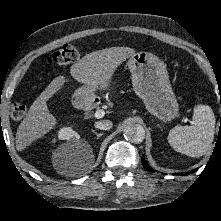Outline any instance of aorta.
<instances>
[{
    "instance_id": "obj_1",
    "label": "aorta",
    "mask_w": 221,
    "mask_h": 221,
    "mask_svg": "<svg viewBox=\"0 0 221 221\" xmlns=\"http://www.w3.org/2000/svg\"><path fill=\"white\" fill-rule=\"evenodd\" d=\"M124 137L131 143H140L145 138L144 128L135 123L127 124L123 131Z\"/></svg>"
}]
</instances>
